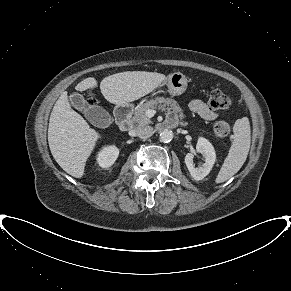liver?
Listing matches in <instances>:
<instances>
[{"instance_id": "obj_1", "label": "liver", "mask_w": 291, "mask_h": 291, "mask_svg": "<svg viewBox=\"0 0 291 291\" xmlns=\"http://www.w3.org/2000/svg\"><path fill=\"white\" fill-rule=\"evenodd\" d=\"M166 76L156 72L126 71L105 77L100 90L107 101L124 105L151 93ZM97 81L89 77L78 83V91L93 89ZM100 134L74 111L64 91L50 115L48 143L55 161L69 175L81 178L85 164L92 153Z\"/></svg>"}]
</instances>
